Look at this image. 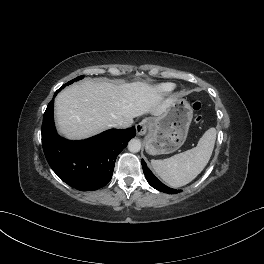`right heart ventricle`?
Here are the masks:
<instances>
[{
  "label": "right heart ventricle",
  "instance_id": "1",
  "mask_svg": "<svg viewBox=\"0 0 264 264\" xmlns=\"http://www.w3.org/2000/svg\"><path fill=\"white\" fill-rule=\"evenodd\" d=\"M157 89L162 93H170L174 89V85L171 83L160 84Z\"/></svg>",
  "mask_w": 264,
  "mask_h": 264
}]
</instances>
